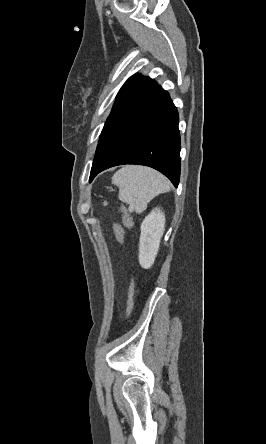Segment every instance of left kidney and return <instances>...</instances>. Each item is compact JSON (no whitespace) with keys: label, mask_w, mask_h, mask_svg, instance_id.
<instances>
[{"label":"left kidney","mask_w":266,"mask_h":444,"mask_svg":"<svg viewBox=\"0 0 266 444\" xmlns=\"http://www.w3.org/2000/svg\"><path fill=\"white\" fill-rule=\"evenodd\" d=\"M164 230L165 215L159 208H155L141 224L139 264L142 268L148 269L154 264Z\"/></svg>","instance_id":"5707ae66"}]
</instances>
